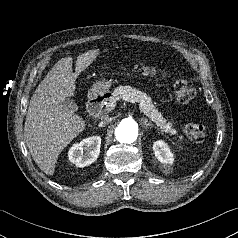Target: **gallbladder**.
<instances>
[{
  "label": "gallbladder",
  "mask_w": 238,
  "mask_h": 238,
  "mask_svg": "<svg viewBox=\"0 0 238 238\" xmlns=\"http://www.w3.org/2000/svg\"><path fill=\"white\" fill-rule=\"evenodd\" d=\"M62 104L73 111H76L78 108L77 104L72 99L67 98L62 102Z\"/></svg>",
  "instance_id": "gallbladder-1"
}]
</instances>
